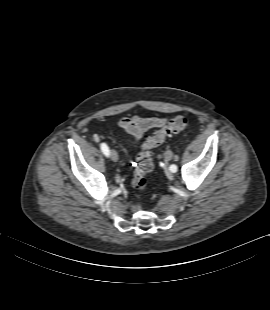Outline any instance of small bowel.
<instances>
[{"label": "small bowel", "mask_w": 270, "mask_h": 310, "mask_svg": "<svg viewBox=\"0 0 270 310\" xmlns=\"http://www.w3.org/2000/svg\"><path fill=\"white\" fill-rule=\"evenodd\" d=\"M167 121L166 117L144 118L138 115H133L130 117H121L118 120V125L129 133L134 141H138L143 138L147 131L164 127L167 124Z\"/></svg>", "instance_id": "1"}]
</instances>
